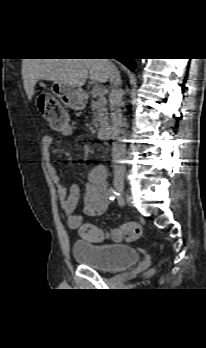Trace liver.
Wrapping results in <instances>:
<instances>
[{"instance_id": "liver-1", "label": "liver", "mask_w": 206, "mask_h": 348, "mask_svg": "<svg viewBox=\"0 0 206 348\" xmlns=\"http://www.w3.org/2000/svg\"><path fill=\"white\" fill-rule=\"evenodd\" d=\"M108 59H23L22 78L29 100L39 80H48L81 87L89 78L105 83L110 76Z\"/></svg>"}]
</instances>
